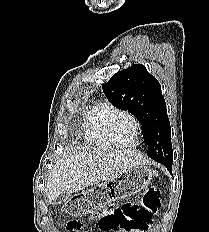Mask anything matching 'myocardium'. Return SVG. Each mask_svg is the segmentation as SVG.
Here are the masks:
<instances>
[{
  "mask_svg": "<svg viewBox=\"0 0 209 232\" xmlns=\"http://www.w3.org/2000/svg\"><path fill=\"white\" fill-rule=\"evenodd\" d=\"M122 117H127L129 118L133 124H134V133H133V139H136L139 130H140V122L138 121V119L136 118L135 115H133L132 113L128 112V111H119L118 113H116L109 121L108 124V136L111 140V142L117 146V147H121V148H131L132 146L130 144H122L121 142H119L113 132V126L116 123L117 120H119Z\"/></svg>",
  "mask_w": 209,
  "mask_h": 232,
  "instance_id": "f54148a6",
  "label": "myocardium"
}]
</instances>
